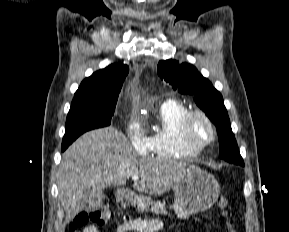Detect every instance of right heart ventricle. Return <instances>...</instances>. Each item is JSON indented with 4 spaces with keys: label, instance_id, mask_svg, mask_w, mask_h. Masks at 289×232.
I'll return each mask as SVG.
<instances>
[{
    "label": "right heart ventricle",
    "instance_id": "obj_1",
    "mask_svg": "<svg viewBox=\"0 0 289 232\" xmlns=\"http://www.w3.org/2000/svg\"><path fill=\"white\" fill-rule=\"evenodd\" d=\"M188 108L181 102L167 100L157 111L158 125L148 138L150 151L159 157L194 156L198 150L186 145L180 136V122Z\"/></svg>",
    "mask_w": 289,
    "mask_h": 232
}]
</instances>
